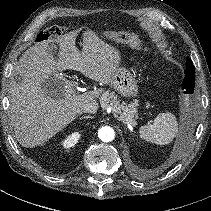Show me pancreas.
<instances>
[{
	"label": "pancreas",
	"instance_id": "cf45deb5",
	"mask_svg": "<svg viewBox=\"0 0 211 211\" xmlns=\"http://www.w3.org/2000/svg\"><path fill=\"white\" fill-rule=\"evenodd\" d=\"M101 102L105 108H112L113 116L118 120L130 123L132 125L136 124L134 117L137 113V101L127 105L125 102H121L119 97L114 92L108 90L102 94Z\"/></svg>",
	"mask_w": 211,
	"mask_h": 211
}]
</instances>
